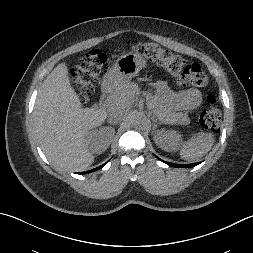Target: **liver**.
Instances as JSON below:
<instances>
[{
    "label": "liver",
    "instance_id": "liver-1",
    "mask_svg": "<svg viewBox=\"0 0 253 253\" xmlns=\"http://www.w3.org/2000/svg\"><path fill=\"white\" fill-rule=\"evenodd\" d=\"M127 86L126 101L116 104L129 106L139 94L137 86ZM106 118L105 109L82 108L71 87L66 63L57 65L42 83L32 117L38 142L47 159L71 171L85 170L94 162L87 136Z\"/></svg>",
    "mask_w": 253,
    "mask_h": 253
}]
</instances>
